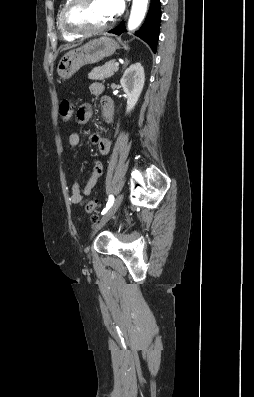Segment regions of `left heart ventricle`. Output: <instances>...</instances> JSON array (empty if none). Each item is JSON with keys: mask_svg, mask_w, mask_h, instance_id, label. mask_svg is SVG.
Listing matches in <instances>:
<instances>
[{"mask_svg": "<svg viewBox=\"0 0 254 397\" xmlns=\"http://www.w3.org/2000/svg\"><path fill=\"white\" fill-rule=\"evenodd\" d=\"M72 22L87 27H99L111 20L102 0H90L71 15Z\"/></svg>", "mask_w": 254, "mask_h": 397, "instance_id": "b2bd125f", "label": "left heart ventricle"}]
</instances>
